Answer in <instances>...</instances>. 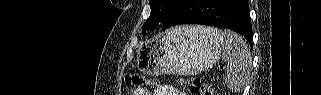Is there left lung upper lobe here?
Returning <instances> with one entry per match:
<instances>
[{
    "mask_svg": "<svg viewBox=\"0 0 321 95\" xmlns=\"http://www.w3.org/2000/svg\"><path fill=\"white\" fill-rule=\"evenodd\" d=\"M180 0H149L151 13L149 19L144 23L142 29L151 30L159 26L160 23H164L174 7Z\"/></svg>",
    "mask_w": 321,
    "mask_h": 95,
    "instance_id": "5c2ea615",
    "label": "left lung upper lobe"
}]
</instances>
